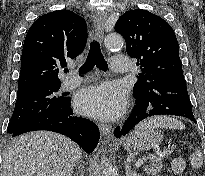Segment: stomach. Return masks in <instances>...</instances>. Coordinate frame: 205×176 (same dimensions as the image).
Returning <instances> with one entry per match:
<instances>
[{"label": "stomach", "instance_id": "stomach-1", "mask_svg": "<svg viewBox=\"0 0 205 176\" xmlns=\"http://www.w3.org/2000/svg\"><path fill=\"white\" fill-rule=\"evenodd\" d=\"M162 134L155 128L135 129L123 141V148L127 152L147 151L161 143Z\"/></svg>", "mask_w": 205, "mask_h": 176}]
</instances>
